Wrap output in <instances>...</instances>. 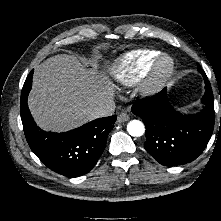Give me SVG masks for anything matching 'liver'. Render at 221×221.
<instances>
[{
  "label": "liver",
  "instance_id": "6515ba94",
  "mask_svg": "<svg viewBox=\"0 0 221 221\" xmlns=\"http://www.w3.org/2000/svg\"><path fill=\"white\" fill-rule=\"evenodd\" d=\"M113 95L104 77L61 54L35 68L28 106L42 129L62 132L93 120L92 111Z\"/></svg>",
  "mask_w": 221,
  "mask_h": 221
}]
</instances>
